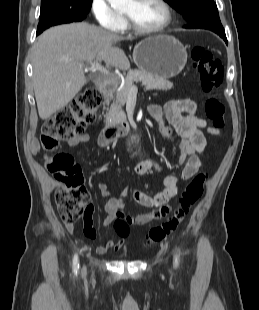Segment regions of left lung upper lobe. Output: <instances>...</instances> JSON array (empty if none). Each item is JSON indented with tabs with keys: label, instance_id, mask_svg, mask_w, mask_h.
Here are the masks:
<instances>
[{
	"label": "left lung upper lobe",
	"instance_id": "1",
	"mask_svg": "<svg viewBox=\"0 0 259 310\" xmlns=\"http://www.w3.org/2000/svg\"><path fill=\"white\" fill-rule=\"evenodd\" d=\"M192 24V28H204L215 33H225L214 0H164Z\"/></svg>",
	"mask_w": 259,
	"mask_h": 310
}]
</instances>
